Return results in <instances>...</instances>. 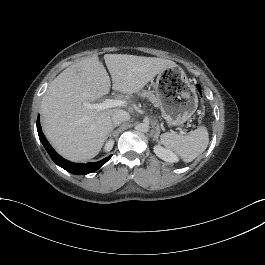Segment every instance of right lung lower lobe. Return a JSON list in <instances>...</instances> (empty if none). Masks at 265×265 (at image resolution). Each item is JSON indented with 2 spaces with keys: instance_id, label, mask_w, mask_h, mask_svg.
Returning a JSON list of instances; mask_svg holds the SVG:
<instances>
[{
  "instance_id": "obj_1",
  "label": "right lung lower lobe",
  "mask_w": 265,
  "mask_h": 265,
  "mask_svg": "<svg viewBox=\"0 0 265 265\" xmlns=\"http://www.w3.org/2000/svg\"><path fill=\"white\" fill-rule=\"evenodd\" d=\"M37 131L39 138L44 145L45 149L47 150L48 154L50 155L51 159L60 167L65 169L66 171L76 174V175H86L88 173H92L98 170L102 165H104L112 156H108L101 161L94 162V163H87V164H75L71 163L62 157H60L50 146L48 141L46 140L45 136L42 133L39 116L37 118Z\"/></svg>"
}]
</instances>
